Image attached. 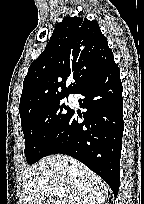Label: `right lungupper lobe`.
Instances as JSON below:
<instances>
[{"instance_id":"cb5924a9","label":"right lung upper lobe","mask_w":144,"mask_h":204,"mask_svg":"<svg viewBox=\"0 0 144 204\" xmlns=\"http://www.w3.org/2000/svg\"><path fill=\"white\" fill-rule=\"evenodd\" d=\"M113 60L97 22L65 17L56 25L45 50L29 67L23 82L20 117L53 98L76 93ZM69 76H73L74 83L67 88Z\"/></svg>"}]
</instances>
